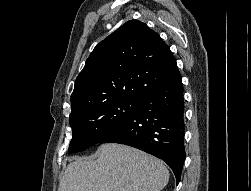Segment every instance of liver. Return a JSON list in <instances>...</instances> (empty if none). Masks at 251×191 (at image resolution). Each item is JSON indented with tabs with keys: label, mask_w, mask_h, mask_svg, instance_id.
I'll list each match as a JSON object with an SVG mask.
<instances>
[{
	"label": "liver",
	"mask_w": 251,
	"mask_h": 191,
	"mask_svg": "<svg viewBox=\"0 0 251 191\" xmlns=\"http://www.w3.org/2000/svg\"><path fill=\"white\" fill-rule=\"evenodd\" d=\"M98 159L75 157L58 191H160L169 181L164 161L121 143H103Z\"/></svg>",
	"instance_id": "obj_1"
}]
</instances>
